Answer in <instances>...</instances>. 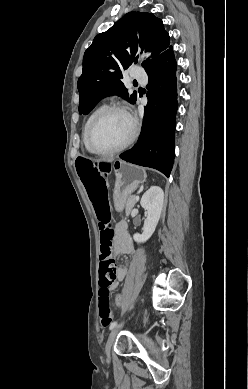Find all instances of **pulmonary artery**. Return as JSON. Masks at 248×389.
Instances as JSON below:
<instances>
[{"label": "pulmonary artery", "instance_id": "e3ab8cb5", "mask_svg": "<svg viewBox=\"0 0 248 389\" xmlns=\"http://www.w3.org/2000/svg\"><path fill=\"white\" fill-rule=\"evenodd\" d=\"M132 76L134 79H136L139 82H146V80H147V78L144 74H140L137 71H133Z\"/></svg>", "mask_w": 248, "mask_h": 389}]
</instances>
